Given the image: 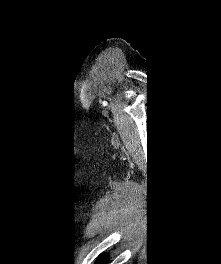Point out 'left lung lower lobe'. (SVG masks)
<instances>
[{
	"label": "left lung lower lobe",
	"mask_w": 221,
	"mask_h": 264,
	"mask_svg": "<svg viewBox=\"0 0 221 264\" xmlns=\"http://www.w3.org/2000/svg\"><path fill=\"white\" fill-rule=\"evenodd\" d=\"M108 256L106 254L102 255L97 262L101 263V264H105V262L107 261Z\"/></svg>",
	"instance_id": "left-lung-lower-lobe-1"
}]
</instances>
